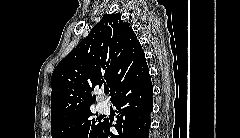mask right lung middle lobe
<instances>
[{
  "instance_id": "right-lung-middle-lobe-1",
  "label": "right lung middle lobe",
  "mask_w": 240,
  "mask_h": 138,
  "mask_svg": "<svg viewBox=\"0 0 240 138\" xmlns=\"http://www.w3.org/2000/svg\"><path fill=\"white\" fill-rule=\"evenodd\" d=\"M92 116L90 109H86L71 119L52 124V138H94L103 122Z\"/></svg>"
}]
</instances>
